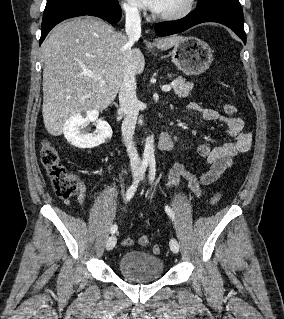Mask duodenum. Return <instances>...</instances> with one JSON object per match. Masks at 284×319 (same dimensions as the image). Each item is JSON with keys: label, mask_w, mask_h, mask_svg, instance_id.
Here are the masks:
<instances>
[{"label": "duodenum", "mask_w": 284, "mask_h": 319, "mask_svg": "<svg viewBox=\"0 0 284 319\" xmlns=\"http://www.w3.org/2000/svg\"><path fill=\"white\" fill-rule=\"evenodd\" d=\"M173 147V136L170 132L161 134L158 141V148L160 150H170Z\"/></svg>", "instance_id": "410a0bca"}]
</instances>
